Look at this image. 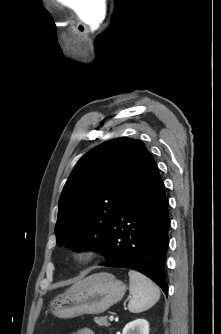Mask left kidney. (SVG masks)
I'll use <instances>...</instances> for the list:
<instances>
[{
  "mask_svg": "<svg viewBox=\"0 0 221 334\" xmlns=\"http://www.w3.org/2000/svg\"><path fill=\"white\" fill-rule=\"evenodd\" d=\"M122 334H149V323L145 319H136L128 323Z\"/></svg>",
  "mask_w": 221,
  "mask_h": 334,
  "instance_id": "1",
  "label": "left kidney"
}]
</instances>
